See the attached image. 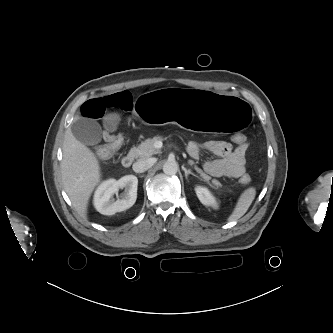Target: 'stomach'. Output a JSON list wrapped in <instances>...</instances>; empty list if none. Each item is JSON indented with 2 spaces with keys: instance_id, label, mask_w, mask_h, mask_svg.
<instances>
[{
  "instance_id": "1",
  "label": "stomach",
  "mask_w": 333,
  "mask_h": 333,
  "mask_svg": "<svg viewBox=\"0 0 333 333\" xmlns=\"http://www.w3.org/2000/svg\"><path fill=\"white\" fill-rule=\"evenodd\" d=\"M135 106L136 116L148 125L174 123L218 135L238 134L254 117L251 106L243 100L183 86L140 95Z\"/></svg>"
}]
</instances>
